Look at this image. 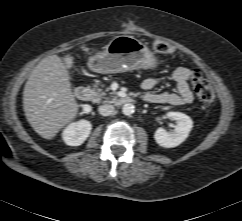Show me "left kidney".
I'll return each instance as SVG.
<instances>
[{"label": "left kidney", "instance_id": "obj_1", "mask_svg": "<svg viewBox=\"0 0 242 221\" xmlns=\"http://www.w3.org/2000/svg\"><path fill=\"white\" fill-rule=\"evenodd\" d=\"M167 116L177 122L173 132L158 128L154 134V139L161 147L173 148L180 145L188 137L193 127V121L188 115L181 112H168Z\"/></svg>", "mask_w": 242, "mask_h": 221}]
</instances>
